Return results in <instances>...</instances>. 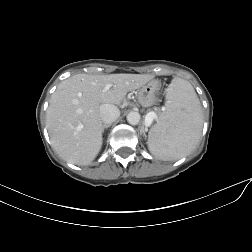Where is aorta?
I'll return each instance as SVG.
<instances>
[{
	"mask_svg": "<svg viewBox=\"0 0 252 252\" xmlns=\"http://www.w3.org/2000/svg\"><path fill=\"white\" fill-rule=\"evenodd\" d=\"M127 121L131 125H137L140 121V114L138 112L132 111L127 115Z\"/></svg>",
	"mask_w": 252,
	"mask_h": 252,
	"instance_id": "aorta-1",
	"label": "aorta"
}]
</instances>
